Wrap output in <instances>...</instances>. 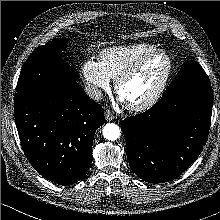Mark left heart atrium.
I'll use <instances>...</instances> for the list:
<instances>
[{
	"mask_svg": "<svg viewBox=\"0 0 220 220\" xmlns=\"http://www.w3.org/2000/svg\"><path fill=\"white\" fill-rule=\"evenodd\" d=\"M120 101L125 102L124 99L120 96Z\"/></svg>",
	"mask_w": 220,
	"mask_h": 220,
	"instance_id": "left-heart-atrium-1",
	"label": "left heart atrium"
}]
</instances>
